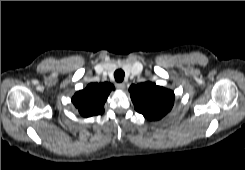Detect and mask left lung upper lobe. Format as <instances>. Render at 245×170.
Masks as SVG:
<instances>
[{"instance_id": "1", "label": "left lung upper lobe", "mask_w": 245, "mask_h": 170, "mask_svg": "<svg viewBox=\"0 0 245 170\" xmlns=\"http://www.w3.org/2000/svg\"><path fill=\"white\" fill-rule=\"evenodd\" d=\"M129 91L135 110L149 120L161 119L174 105V92L152 82L131 85Z\"/></svg>"}]
</instances>
